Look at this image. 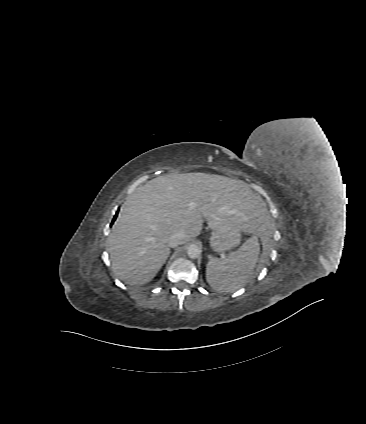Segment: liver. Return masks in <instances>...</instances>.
<instances>
[{
    "label": "liver",
    "instance_id": "liver-1",
    "mask_svg": "<svg viewBox=\"0 0 366 424\" xmlns=\"http://www.w3.org/2000/svg\"><path fill=\"white\" fill-rule=\"evenodd\" d=\"M263 206L241 180L199 172L154 178L120 210L108 237L112 269L126 283H149L170 254V236L182 231L185 244L204 219L214 232L237 226L264 238Z\"/></svg>",
    "mask_w": 366,
    "mask_h": 424
}]
</instances>
